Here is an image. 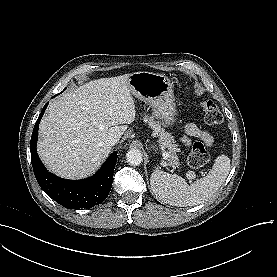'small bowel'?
I'll use <instances>...</instances> for the list:
<instances>
[{"label":"small bowel","instance_id":"c3829d8e","mask_svg":"<svg viewBox=\"0 0 277 277\" xmlns=\"http://www.w3.org/2000/svg\"><path fill=\"white\" fill-rule=\"evenodd\" d=\"M189 137H197V138L202 139V141L205 143L206 147H211L213 144L212 135L201 130L194 123H189L184 128V134H183L181 140L187 146H189L191 144V140Z\"/></svg>","mask_w":277,"mask_h":277}]
</instances>
